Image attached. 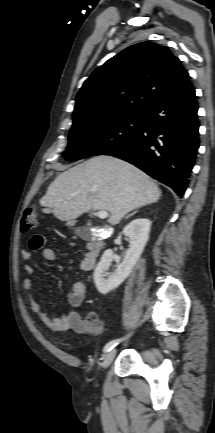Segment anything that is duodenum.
Returning <instances> with one entry per match:
<instances>
[{
    "instance_id": "1",
    "label": "duodenum",
    "mask_w": 215,
    "mask_h": 433,
    "mask_svg": "<svg viewBox=\"0 0 215 433\" xmlns=\"http://www.w3.org/2000/svg\"><path fill=\"white\" fill-rule=\"evenodd\" d=\"M104 235L100 234L97 238L90 240L87 244L88 253L91 257L97 258L102 251Z\"/></svg>"
}]
</instances>
